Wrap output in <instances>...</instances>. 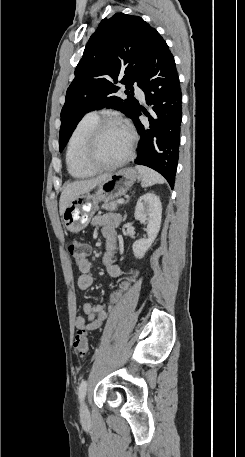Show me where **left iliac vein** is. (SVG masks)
Wrapping results in <instances>:
<instances>
[{"label": "left iliac vein", "mask_w": 245, "mask_h": 457, "mask_svg": "<svg viewBox=\"0 0 245 457\" xmlns=\"http://www.w3.org/2000/svg\"><path fill=\"white\" fill-rule=\"evenodd\" d=\"M80 417L84 420L89 418V410L85 402L80 407Z\"/></svg>", "instance_id": "left-iliac-vein-1"}]
</instances>
